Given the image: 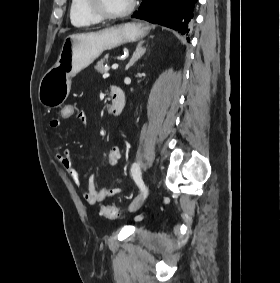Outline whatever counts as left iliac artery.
<instances>
[{
	"label": "left iliac artery",
	"mask_w": 280,
	"mask_h": 283,
	"mask_svg": "<svg viewBox=\"0 0 280 283\" xmlns=\"http://www.w3.org/2000/svg\"><path fill=\"white\" fill-rule=\"evenodd\" d=\"M131 173L133 176L134 181L138 185V187L141 189V191L144 192L145 196L147 195L146 187L143 183L142 176H141V170H140V164L139 163H133L131 167Z\"/></svg>",
	"instance_id": "1"
}]
</instances>
